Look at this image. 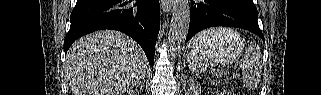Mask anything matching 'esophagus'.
I'll use <instances>...</instances> for the list:
<instances>
[{
    "label": "esophagus",
    "mask_w": 321,
    "mask_h": 95,
    "mask_svg": "<svg viewBox=\"0 0 321 95\" xmlns=\"http://www.w3.org/2000/svg\"><path fill=\"white\" fill-rule=\"evenodd\" d=\"M161 5L164 12H169L173 5V0H162Z\"/></svg>",
    "instance_id": "esophagus-1"
}]
</instances>
